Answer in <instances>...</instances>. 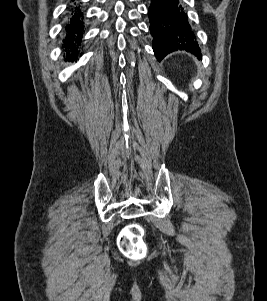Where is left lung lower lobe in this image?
Returning <instances> with one entry per match:
<instances>
[{
	"label": "left lung lower lobe",
	"instance_id": "obj_1",
	"mask_svg": "<svg viewBox=\"0 0 267 301\" xmlns=\"http://www.w3.org/2000/svg\"><path fill=\"white\" fill-rule=\"evenodd\" d=\"M148 14L152 47L159 61L176 50H185L201 58L195 34L179 0H151Z\"/></svg>",
	"mask_w": 267,
	"mask_h": 301
}]
</instances>
